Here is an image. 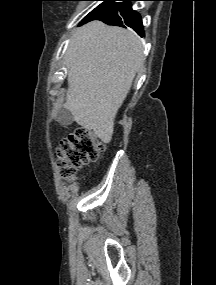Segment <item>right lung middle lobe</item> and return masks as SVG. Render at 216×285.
<instances>
[{
	"instance_id": "1",
	"label": "right lung middle lobe",
	"mask_w": 216,
	"mask_h": 285,
	"mask_svg": "<svg viewBox=\"0 0 216 285\" xmlns=\"http://www.w3.org/2000/svg\"><path fill=\"white\" fill-rule=\"evenodd\" d=\"M101 1H103V3H101V4H100L98 7H96L92 12H90V13L83 19V21L102 14L103 12H105V11H107L108 9H110L111 7H113V6L116 4V3H114L115 1H119V0H101Z\"/></svg>"
}]
</instances>
